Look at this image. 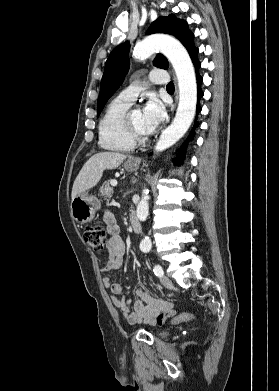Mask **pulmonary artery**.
<instances>
[{
	"mask_svg": "<svg viewBox=\"0 0 279 391\" xmlns=\"http://www.w3.org/2000/svg\"><path fill=\"white\" fill-rule=\"evenodd\" d=\"M169 79L168 74L165 71L162 70H157L152 72L148 78L147 82L148 83H156V84H161V83H166ZM147 82L141 83V82H134L124 90H122L119 94V97L133 102L138 94L145 89L147 86Z\"/></svg>",
	"mask_w": 279,
	"mask_h": 391,
	"instance_id": "obj_1",
	"label": "pulmonary artery"
}]
</instances>
